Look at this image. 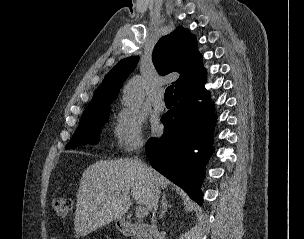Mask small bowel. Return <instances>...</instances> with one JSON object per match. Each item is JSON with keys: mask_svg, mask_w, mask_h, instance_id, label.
Masks as SVG:
<instances>
[{"mask_svg": "<svg viewBox=\"0 0 304 239\" xmlns=\"http://www.w3.org/2000/svg\"><path fill=\"white\" fill-rule=\"evenodd\" d=\"M60 237H61L60 233H56L53 235L51 239H60Z\"/></svg>", "mask_w": 304, "mask_h": 239, "instance_id": "obj_1", "label": "small bowel"}]
</instances>
